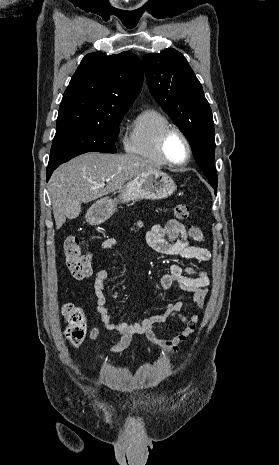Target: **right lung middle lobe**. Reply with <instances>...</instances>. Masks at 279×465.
Listing matches in <instances>:
<instances>
[{"instance_id": "right-lung-middle-lobe-1", "label": "right lung middle lobe", "mask_w": 279, "mask_h": 465, "mask_svg": "<svg viewBox=\"0 0 279 465\" xmlns=\"http://www.w3.org/2000/svg\"><path fill=\"white\" fill-rule=\"evenodd\" d=\"M127 110H113L99 122H77L57 126L48 166H59L90 151L116 153L114 142L118 126Z\"/></svg>"}]
</instances>
